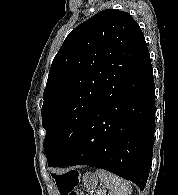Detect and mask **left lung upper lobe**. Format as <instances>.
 Returning a JSON list of instances; mask_svg holds the SVG:
<instances>
[{
	"label": "left lung upper lobe",
	"mask_w": 178,
	"mask_h": 195,
	"mask_svg": "<svg viewBox=\"0 0 178 195\" xmlns=\"http://www.w3.org/2000/svg\"><path fill=\"white\" fill-rule=\"evenodd\" d=\"M149 56L129 13L106 9L73 29L56 54L43 94L44 151L54 167L92 114Z\"/></svg>",
	"instance_id": "1"
}]
</instances>
